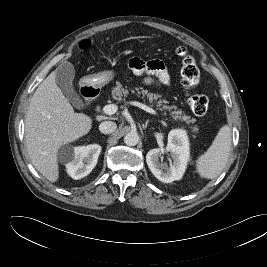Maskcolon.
Here are the masks:
<instances>
[{
  "instance_id": "5ec220e1",
  "label": "colon",
  "mask_w": 267,
  "mask_h": 267,
  "mask_svg": "<svg viewBox=\"0 0 267 267\" xmlns=\"http://www.w3.org/2000/svg\"><path fill=\"white\" fill-rule=\"evenodd\" d=\"M91 46L88 40L80 44L81 49H87ZM181 58V83L187 92V102L191 111L198 115H204L208 111L209 101L205 95L193 93V89L199 82V69L195 59L189 55L188 51L181 47L177 50Z\"/></svg>"
}]
</instances>
